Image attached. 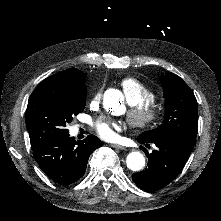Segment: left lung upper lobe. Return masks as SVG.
<instances>
[{"label":"left lung upper lobe","mask_w":221,"mask_h":221,"mask_svg":"<svg viewBox=\"0 0 221 221\" xmlns=\"http://www.w3.org/2000/svg\"><path fill=\"white\" fill-rule=\"evenodd\" d=\"M160 82L165 96L164 122L139 136L148 140L168 137L192 150L198 130V109L194 93L177 75H162Z\"/></svg>","instance_id":"left-lung-upper-lobe-1"}]
</instances>
